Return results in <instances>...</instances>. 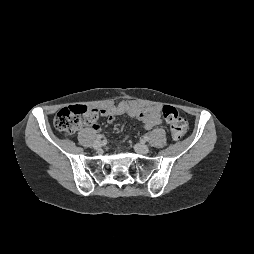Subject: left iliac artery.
Instances as JSON below:
<instances>
[{
    "instance_id": "44dca946",
    "label": "left iliac artery",
    "mask_w": 254,
    "mask_h": 254,
    "mask_svg": "<svg viewBox=\"0 0 254 254\" xmlns=\"http://www.w3.org/2000/svg\"><path fill=\"white\" fill-rule=\"evenodd\" d=\"M143 140H144V141H148V140H149V137L145 135V136L143 137Z\"/></svg>"
}]
</instances>
